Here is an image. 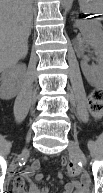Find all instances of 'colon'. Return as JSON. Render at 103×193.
Segmentation results:
<instances>
[{
  "label": "colon",
  "instance_id": "colon-1",
  "mask_svg": "<svg viewBox=\"0 0 103 193\" xmlns=\"http://www.w3.org/2000/svg\"><path fill=\"white\" fill-rule=\"evenodd\" d=\"M89 111L92 117L95 119H100L103 114V89L95 88L89 94L88 97ZM68 169V172L71 176H76L80 173L81 168L75 162L65 163Z\"/></svg>",
  "mask_w": 103,
  "mask_h": 193
}]
</instances>
